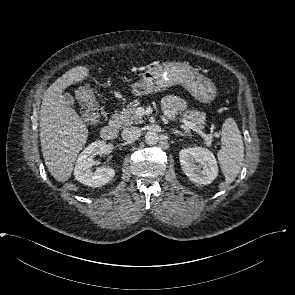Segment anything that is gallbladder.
<instances>
[{"instance_id":"obj_1","label":"gallbladder","mask_w":295,"mask_h":295,"mask_svg":"<svg viewBox=\"0 0 295 295\" xmlns=\"http://www.w3.org/2000/svg\"><path fill=\"white\" fill-rule=\"evenodd\" d=\"M64 99L66 100V102L69 105H74V103H75L73 96L71 94H69V93L64 94Z\"/></svg>"}]
</instances>
